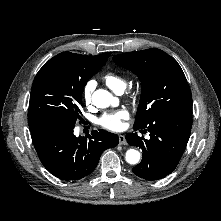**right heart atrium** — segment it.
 <instances>
[{"instance_id": "1", "label": "right heart atrium", "mask_w": 221, "mask_h": 221, "mask_svg": "<svg viewBox=\"0 0 221 221\" xmlns=\"http://www.w3.org/2000/svg\"><path fill=\"white\" fill-rule=\"evenodd\" d=\"M95 89V82L93 80L88 81L83 89V99L86 104L91 103L92 94Z\"/></svg>"}]
</instances>
